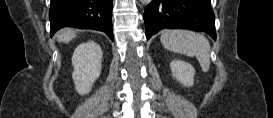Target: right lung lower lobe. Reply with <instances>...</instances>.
<instances>
[{"label": "right lung lower lobe", "mask_w": 273, "mask_h": 118, "mask_svg": "<svg viewBox=\"0 0 273 118\" xmlns=\"http://www.w3.org/2000/svg\"><path fill=\"white\" fill-rule=\"evenodd\" d=\"M112 3L113 0H51V36L63 27H76L103 31L113 41Z\"/></svg>", "instance_id": "obj_1"}]
</instances>
